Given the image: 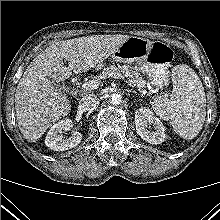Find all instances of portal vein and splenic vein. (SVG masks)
Here are the masks:
<instances>
[{"mask_svg":"<svg viewBox=\"0 0 220 220\" xmlns=\"http://www.w3.org/2000/svg\"><path fill=\"white\" fill-rule=\"evenodd\" d=\"M108 77L115 78V79H123V76L120 73H115V72L108 74ZM99 84H100V81L96 79H92V80H89L83 83L82 88L84 90H95V89H98ZM142 92L144 93V91Z\"/></svg>","mask_w":220,"mask_h":220,"instance_id":"portal-vein-and-splenic-vein-1","label":"portal vein and splenic vein"}]
</instances>
